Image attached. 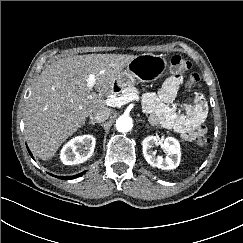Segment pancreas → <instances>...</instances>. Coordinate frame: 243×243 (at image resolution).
<instances>
[{"label":"pancreas","mask_w":243,"mask_h":243,"mask_svg":"<svg viewBox=\"0 0 243 243\" xmlns=\"http://www.w3.org/2000/svg\"><path fill=\"white\" fill-rule=\"evenodd\" d=\"M129 93L139 94V91L136 87L131 85V86L124 88L122 93L120 94V96H124V95H127Z\"/></svg>","instance_id":"1"}]
</instances>
